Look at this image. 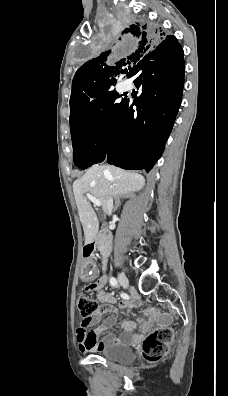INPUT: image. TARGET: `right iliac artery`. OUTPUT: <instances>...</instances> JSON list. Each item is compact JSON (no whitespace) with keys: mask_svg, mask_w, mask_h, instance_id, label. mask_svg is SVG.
Instances as JSON below:
<instances>
[{"mask_svg":"<svg viewBox=\"0 0 228 396\" xmlns=\"http://www.w3.org/2000/svg\"><path fill=\"white\" fill-rule=\"evenodd\" d=\"M109 281L113 287H118V282L114 277H111Z\"/></svg>","mask_w":228,"mask_h":396,"instance_id":"obj_1","label":"right iliac artery"}]
</instances>
